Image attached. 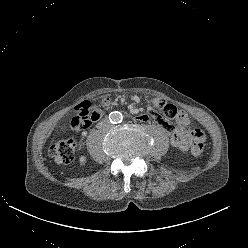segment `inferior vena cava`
<instances>
[{
  "label": "inferior vena cava",
  "mask_w": 248,
  "mask_h": 248,
  "mask_svg": "<svg viewBox=\"0 0 248 248\" xmlns=\"http://www.w3.org/2000/svg\"><path fill=\"white\" fill-rule=\"evenodd\" d=\"M104 124L110 125V123L108 121H105Z\"/></svg>",
  "instance_id": "1"
}]
</instances>
